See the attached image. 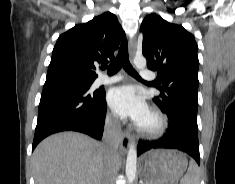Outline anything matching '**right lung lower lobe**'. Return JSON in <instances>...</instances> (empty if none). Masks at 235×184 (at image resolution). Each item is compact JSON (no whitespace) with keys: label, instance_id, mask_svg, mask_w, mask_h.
Segmentation results:
<instances>
[{"label":"right lung lower lobe","instance_id":"1","mask_svg":"<svg viewBox=\"0 0 235 184\" xmlns=\"http://www.w3.org/2000/svg\"><path fill=\"white\" fill-rule=\"evenodd\" d=\"M106 109L105 91L89 92L64 79L45 82L32 151L45 137L62 131H78L100 140Z\"/></svg>","mask_w":235,"mask_h":184}]
</instances>
